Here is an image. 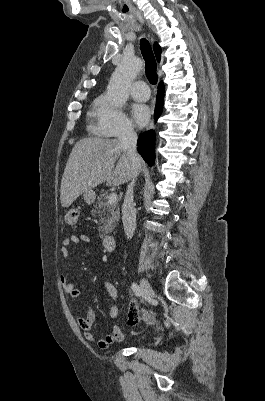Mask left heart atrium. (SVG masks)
I'll return each instance as SVG.
<instances>
[{"label":"left heart atrium","instance_id":"39dd6f15","mask_svg":"<svg viewBox=\"0 0 265 401\" xmlns=\"http://www.w3.org/2000/svg\"><path fill=\"white\" fill-rule=\"evenodd\" d=\"M131 115L139 126L145 125L150 116L149 107L142 103H133L131 106Z\"/></svg>","mask_w":265,"mask_h":401}]
</instances>
